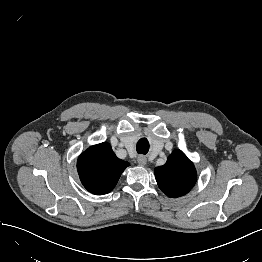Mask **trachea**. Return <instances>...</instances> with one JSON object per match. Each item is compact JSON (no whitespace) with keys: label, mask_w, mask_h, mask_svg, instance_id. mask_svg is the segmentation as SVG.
Instances as JSON below:
<instances>
[{"label":"trachea","mask_w":262,"mask_h":262,"mask_svg":"<svg viewBox=\"0 0 262 262\" xmlns=\"http://www.w3.org/2000/svg\"><path fill=\"white\" fill-rule=\"evenodd\" d=\"M136 150H137V153L139 154H146L149 150L148 141L145 138L139 140L137 143Z\"/></svg>","instance_id":"1"}]
</instances>
